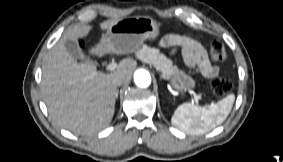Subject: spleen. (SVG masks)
Segmentation results:
<instances>
[{
    "mask_svg": "<svg viewBox=\"0 0 283 162\" xmlns=\"http://www.w3.org/2000/svg\"><path fill=\"white\" fill-rule=\"evenodd\" d=\"M234 101L235 95L229 94L224 99L208 107L183 103L174 111L171 122L182 131L193 135H201L226 120Z\"/></svg>",
    "mask_w": 283,
    "mask_h": 162,
    "instance_id": "obj_1",
    "label": "spleen"
}]
</instances>
